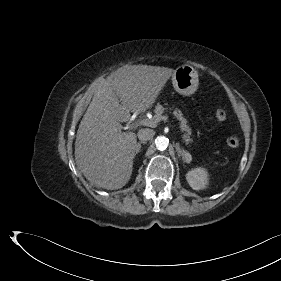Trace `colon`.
<instances>
[{"mask_svg": "<svg viewBox=\"0 0 281 281\" xmlns=\"http://www.w3.org/2000/svg\"><path fill=\"white\" fill-rule=\"evenodd\" d=\"M211 118L218 123L224 122L226 120V112L223 108H217L212 112ZM227 145L230 148H238L240 146V139L237 136H231L227 139Z\"/></svg>", "mask_w": 281, "mask_h": 281, "instance_id": "5ec220e1", "label": "colon"}]
</instances>
